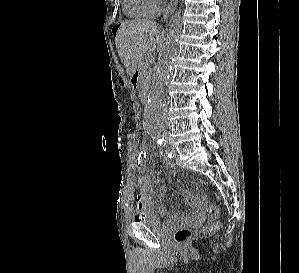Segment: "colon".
Here are the masks:
<instances>
[{"instance_id": "obj_1", "label": "colon", "mask_w": 299, "mask_h": 273, "mask_svg": "<svg viewBox=\"0 0 299 273\" xmlns=\"http://www.w3.org/2000/svg\"><path fill=\"white\" fill-rule=\"evenodd\" d=\"M142 149L148 150V141L145 136L140 139ZM219 214V209L215 205H210L207 209V217L210 221H214ZM214 228V225L208 224L203 227V231H210ZM192 230L188 227H181L175 231L174 238L179 244L187 242L192 236Z\"/></svg>"}]
</instances>
